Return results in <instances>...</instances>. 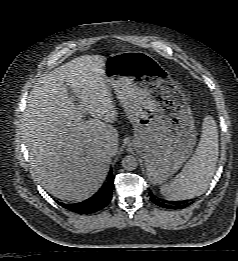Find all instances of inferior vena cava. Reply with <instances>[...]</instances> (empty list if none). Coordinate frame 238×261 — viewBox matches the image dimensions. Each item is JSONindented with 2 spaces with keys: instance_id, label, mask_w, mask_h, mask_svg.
Returning <instances> with one entry per match:
<instances>
[{
  "instance_id": "602c4592",
  "label": "inferior vena cava",
  "mask_w": 238,
  "mask_h": 261,
  "mask_svg": "<svg viewBox=\"0 0 238 261\" xmlns=\"http://www.w3.org/2000/svg\"><path fill=\"white\" fill-rule=\"evenodd\" d=\"M105 148H106V151H107L109 154H111V152H112L111 146H110L109 144H107V145L105 146Z\"/></svg>"
}]
</instances>
